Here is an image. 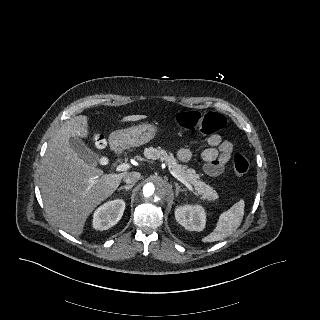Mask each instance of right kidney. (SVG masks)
I'll use <instances>...</instances> for the list:
<instances>
[{
    "label": "right kidney",
    "mask_w": 320,
    "mask_h": 320,
    "mask_svg": "<svg viewBox=\"0 0 320 320\" xmlns=\"http://www.w3.org/2000/svg\"><path fill=\"white\" fill-rule=\"evenodd\" d=\"M125 210L122 199L108 201L101 205L93 215V227L97 230H107L117 224Z\"/></svg>",
    "instance_id": "ca27d5eb"
}]
</instances>
